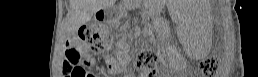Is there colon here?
<instances>
[{
    "label": "colon",
    "instance_id": "obj_1",
    "mask_svg": "<svg viewBox=\"0 0 258 77\" xmlns=\"http://www.w3.org/2000/svg\"><path fill=\"white\" fill-rule=\"evenodd\" d=\"M107 27L102 21L93 22L85 26L81 32V41L92 51L101 50L106 42ZM83 53L76 47H70L66 50L63 70L69 77H90L86 74L82 66ZM157 63L154 52L150 50H141L137 55L138 66L145 71L155 69ZM219 67V59L214 56H208L201 63V70L206 74H213Z\"/></svg>",
    "mask_w": 258,
    "mask_h": 77
}]
</instances>
